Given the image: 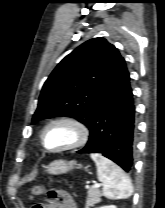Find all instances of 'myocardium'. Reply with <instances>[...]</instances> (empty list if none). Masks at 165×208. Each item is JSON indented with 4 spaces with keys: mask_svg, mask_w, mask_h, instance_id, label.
<instances>
[{
    "mask_svg": "<svg viewBox=\"0 0 165 208\" xmlns=\"http://www.w3.org/2000/svg\"><path fill=\"white\" fill-rule=\"evenodd\" d=\"M58 124H65V125L70 126L75 132V135H76L75 139L74 141H72L71 143L65 146H62L59 148H49L45 144V140H44L45 134L49 128ZM89 137H90V130L83 121L73 118V117H58L49 121L45 125L40 135V141H41L42 147L46 151L51 152V153H59V152H64V151H68V150H72V149H76V148L84 146L88 142Z\"/></svg>",
    "mask_w": 165,
    "mask_h": 208,
    "instance_id": "1",
    "label": "myocardium"
}]
</instances>
